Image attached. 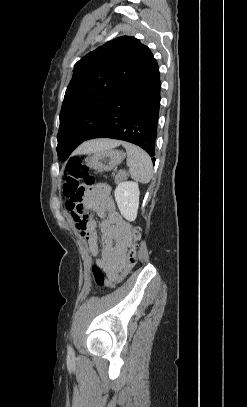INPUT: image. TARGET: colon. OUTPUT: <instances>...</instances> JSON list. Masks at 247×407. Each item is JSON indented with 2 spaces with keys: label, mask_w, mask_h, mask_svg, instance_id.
I'll use <instances>...</instances> for the list:
<instances>
[{
  "label": "colon",
  "mask_w": 247,
  "mask_h": 407,
  "mask_svg": "<svg viewBox=\"0 0 247 407\" xmlns=\"http://www.w3.org/2000/svg\"><path fill=\"white\" fill-rule=\"evenodd\" d=\"M95 183V179L90 174L82 157H73L69 160L64 171L63 193L74 203L82 201L86 187ZM131 234L134 238L133 245L129 248L127 262L122 274L116 280H109L101 268L97 265L92 266L93 281L100 287H113L130 274L136 264V241L140 238V228L135 225H129Z\"/></svg>",
  "instance_id": "5ec220e1"
}]
</instances>
